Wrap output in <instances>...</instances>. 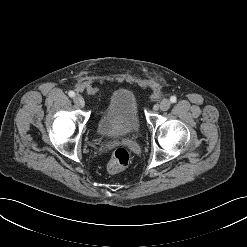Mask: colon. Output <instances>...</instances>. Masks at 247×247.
I'll return each instance as SVG.
<instances>
[{
    "instance_id": "5ec220e1",
    "label": "colon",
    "mask_w": 247,
    "mask_h": 247,
    "mask_svg": "<svg viewBox=\"0 0 247 247\" xmlns=\"http://www.w3.org/2000/svg\"><path fill=\"white\" fill-rule=\"evenodd\" d=\"M130 154L125 148H116L107 162V170L110 173H118L128 167Z\"/></svg>"
}]
</instances>
